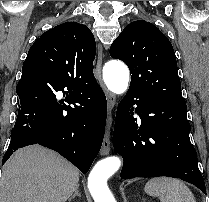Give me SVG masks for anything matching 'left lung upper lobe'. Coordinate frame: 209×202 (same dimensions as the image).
I'll return each mask as SVG.
<instances>
[{
  "instance_id": "5c2ea615",
  "label": "left lung upper lobe",
  "mask_w": 209,
  "mask_h": 202,
  "mask_svg": "<svg viewBox=\"0 0 209 202\" xmlns=\"http://www.w3.org/2000/svg\"><path fill=\"white\" fill-rule=\"evenodd\" d=\"M110 55L129 67L132 78L128 91L157 101L186 104L173 47L155 25L144 20L130 23L112 43Z\"/></svg>"
}]
</instances>
